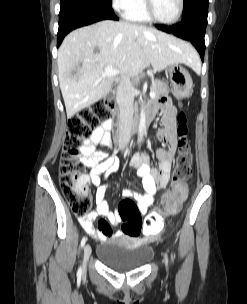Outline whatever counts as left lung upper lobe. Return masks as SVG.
Wrapping results in <instances>:
<instances>
[{"label": "left lung upper lobe", "instance_id": "5c2ea615", "mask_svg": "<svg viewBox=\"0 0 247 304\" xmlns=\"http://www.w3.org/2000/svg\"><path fill=\"white\" fill-rule=\"evenodd\" d=\"M203 1H206V0H184L182 17H184L192 9V7L195 4H197L199 2H203Z\"/></svg>", "mask_w": 247, "mask_h": 304}]
</instances>
